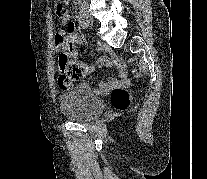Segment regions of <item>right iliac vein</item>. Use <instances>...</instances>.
Here are the masks:
<instances>
[{"label":"right iliac vein","mask_w":207,"mask_h":179,"mask_svg":"<svg viewBox=\"0 0 207 179\" xmlns=\"http://www.w3.org/2000/svg\"><path fill=\"white\" fill-rule=\"evenodd\" d=\"M84 15L89 20V22H93V19L90 17L88 13H84Z\"/></svg>","instance_id":"obj_1"}]
</instances>
